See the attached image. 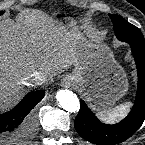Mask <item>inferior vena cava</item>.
Returning <instances> with one entry per match:
<instances>
[{
    "label": "inferior vena cava",
    "mask_w": 145,
    "mask_h": 145,
    "mask_svg": "<svg viewBox=\"0 0 145 145\" xmlns=\"http://www.w3.org/2000/svg\"><path fill=\"white\" fill-rule=\"evenodd\" d=\"M45 81H46V76L38 71H35L24 78V83L26 85H32L33 83L37 85H41Z\"/></svg>",
    "instance_id": "1"
}]
</instances>
